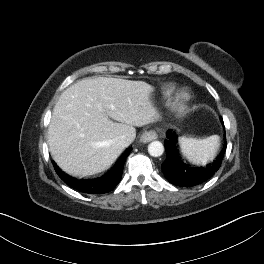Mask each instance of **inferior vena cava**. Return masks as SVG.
Listing matches in <instances>:
<instances>
[{
  "label": "inferior vena cava",
  "mask_w": 264,
  "mask_h": 264,
  "mask_svg": "<svg viewBox=\"0 0 264 264\" xmlns=\"http://www.w3.org/2000/svg\"><path fill=\"white\" fill-rule=\"evenodd\" d=\"M116 142L118 145L123 146V147H128L130 144L128 138L124 135L117 137Z\"/></svg>",
  "instance_id": "obj_1"
}]
</instances>
